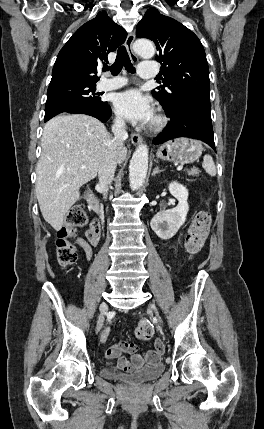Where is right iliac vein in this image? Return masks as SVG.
<instances>
[{
	"label": "right iliac vein",
	"mask_w": 264,
	"mask_h": 429,
	"mask_svg": "<svg viewBox=\"0 0 264 429\" xmlns=\"http://www.w3.org/2000/svg\"><path fill=\"white\" fill-rule=\"evenodd\" d=\"M107 311H108V308L104 311V315L102 316L101 315V318H100V320H99V322H98V325H97V328H96V332L98 333L101 329H102V327H103V323L106 321V317L108 316L106 313H107Z\"/></svg>",
	"instance_id": "obj_1"
}]
</instances>
